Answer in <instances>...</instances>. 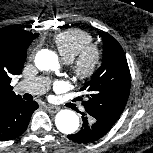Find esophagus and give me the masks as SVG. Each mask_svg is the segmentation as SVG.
I'll return each mask as SVG.
<instances>
[{
	"label": "esophagus",
	"instance_id": "esophagus-1",
	"mask_svg": "<svg viewBox=\"0 0 153 153\" xmlns=\"http://www.w3.org/2000/svg\"><path fill=\"white\" fill-rule=\"evenodd\" d=\"M46 108L49 112L51 113H56L57 111H59V107L57 106H51V105H46Z\"/></svg>",
	"mask_w": 153,
	"mask_h": 153
}]
</instances>
